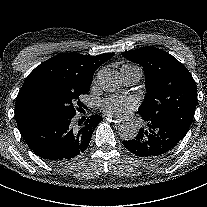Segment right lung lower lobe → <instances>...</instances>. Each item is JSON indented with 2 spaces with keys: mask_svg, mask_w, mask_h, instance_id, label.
Listing matches in <instances>:
<instances>
[{
  "mask_svg": "<svg viewBox=\"0 0 207 207\" xmlns=\"http://www.w3.org/2000/svg\"><path fill=\"white\" fill-rule=\"evenodd\" d=\"M102 117L93 115L79 121L56 119L31 125L20 131L29 148L50 163H65L76 159L88 147L92 133Z\"/></svg>",
  "mask_w": 207,
  "mask_h": 207,
  "instance_id": "98d812e1",
  "label": "right lung lower lobe"
}]
</instances>
